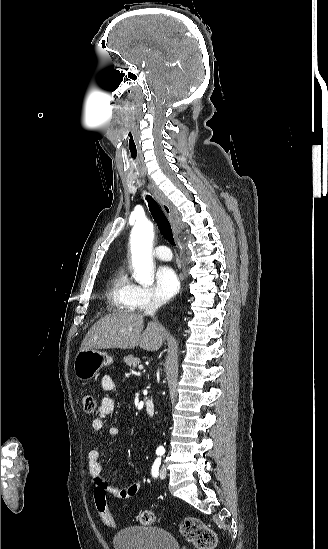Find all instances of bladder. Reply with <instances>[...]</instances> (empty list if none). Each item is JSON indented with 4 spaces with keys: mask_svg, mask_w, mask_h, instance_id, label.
Wrapping results in <instances>:
<instances>
[{
    "mask_svg": "<svg viewBox=\"0 0 328 549\" xmlns=\"http://www.w3.org/2000/svg\"><path fill=\"white\" fill-rule=\"evenodd\" d=\"M113 543L116 549H177L170 532L150 526L124 528Z\"/></svg>",
    "mask_w": 328,
    "mask_h": 549,
    "instance_id": "bladder-1",
    "label": "bladder"
}]
</instances>
